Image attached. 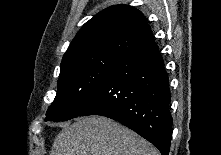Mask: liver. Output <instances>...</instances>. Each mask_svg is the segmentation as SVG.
I'll list each match as a JSON object with an SVG mask.
<instances>
[{
  "label": "liver",
  "instance_id": "1",
  "mask_svg": "<svg viewBox=\"0 0 221 155\" xmlns=\"http://www.w3.org/2000/svg\"><path fill=\"white\" fill-rule=\"evenodd\" d=\"M50 155H158L132 130L102 116L78 118L54 140Z\"/></svg>",
  "mask_w": 221,
  "mask_h": 155
}]
</instances>
